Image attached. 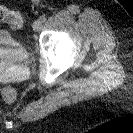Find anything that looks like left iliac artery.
I'll return each mask as SVG.
<instances>
[{
    "label": "left iliac artery",
    "mask_w": 133,
    "mask_h": 133,
    "mask_svg": "<svg viewBox=\"0 0 133 133\" xmlns=\"http://www.w3.org/2000/svg\"><path fill=\"white\" fill-rule=\"evenodd\" d=\"M42 22H45L47 20V17L45 15H41L39 18Z\"/></svg>",
    "instance_id": "1"
}]
</instances>
